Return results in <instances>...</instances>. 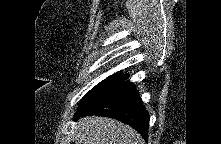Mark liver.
<instances>
[{"mask_svg": "<svg viewBox=\"0 0 221 144\" xmlns=\"http://www.w3.org/2000/svg\"><path fill=\"white\" fill-rule=\"evenodd\" d=\"M75 144H144L140 134L119 121L87 116L74 127Z\"/></svg>", "mask_w": 221, "mask_h": 144, "instance_id": "liver-1", "label": "liver"}]
</instances>
